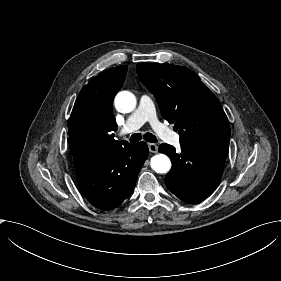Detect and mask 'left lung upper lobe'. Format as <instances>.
<instances>
[{"label": "left lung upper lobe", "instance_id": "5c2ea615", "mask_svg": "<svg viewBox=\"0 0 281 281\" xmlns=\"http://www.w3.org/2000/svg\"><path fill=\"white\" fill-rule=\"evenodd\" d=\"M141 82L153 93L161 114L179 131L187 148L229 149L230 126L216 96L190 69L138 63Z\"/></svg>", "mask_w": 281, "mask_h": 281}]
</instances>
